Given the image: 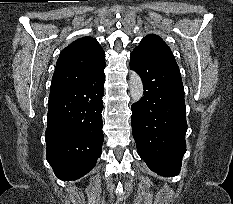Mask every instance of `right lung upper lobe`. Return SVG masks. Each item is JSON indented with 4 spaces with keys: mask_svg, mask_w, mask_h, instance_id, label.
<instances>
[{
    "mask_svg": "<svg viewBox=\"0 0 233 204\" xmlns=\"http://www.w3.org/2000/svg\"><path fill=\"white\" fill-rule=\"evenodd\" d=\"M105 68V52L96 39L83 37L64 48L56 63L50 94L91 80Z\"/></svg>",
    "mask_w": 233,
    "mask_h": 204,
    "instance_id": "cb5924a9",
    "label": "right lung upper lobe"
}]
</instances>
